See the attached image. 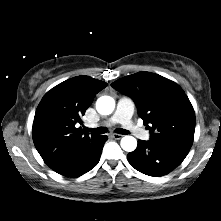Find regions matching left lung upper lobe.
<instances>
[{
    "label": "left lung upper lobe",
    "instance_id": "1",
    "mask_svg": "<svg viewBox=\"0 0 221 221\" xmlns=\"http://www.w3.org/2000/svg\"><path fill=\"white\" fill-rule=\"evenodd\" d=\"M111 86L131 97L138 115L150 129V141L189 149L195 131L194 109L175 82L150 72H138L113 82Z\"/></svg>",
    "mask_w": 221,
    "mask_h": 221
}]
</instances>
